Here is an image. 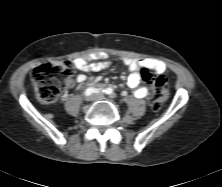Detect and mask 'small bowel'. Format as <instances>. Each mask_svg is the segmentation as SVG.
Listing matches in <instances>:
<instances>
[{"mask_svg": "<svg viewBox=\"0 0 222 187\" xmlns=\"http://www.w3.org/2000/svg\"><path fill=\"white\" fill-rule=\"evenodd\" d=\"M92 59H97V62H91ZM124 64L128 67L130 75L127 79L128 86L133 90L134 94L138 98H146L149 94V88L147 86L140 85L141 70L150 69L158 74L164 73L166 66L163 62L155 59H131L124 58ZM74 66L83 72L99 71L110 66V62L107 60V55L104 53H97L88 58H78L74 60ZM76 81L83 84L87 81L84 74H79L76 77Z\"/></svg>", "mask_w": 222, "mask_h": 187, "instance_id": "obj_1", "label": "small bowel"}]
</instances>
